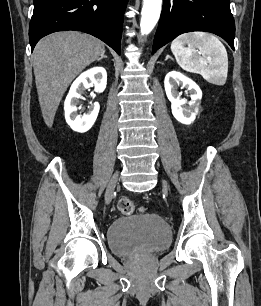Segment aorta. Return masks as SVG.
<instances>
[{
  "instance_id": "obj_1",
  "label": "aorta",
  "mask_w": 261,
  "mask_h": 306,
  "mask_svg": "<svg viewBox=\"0 0 261 306\" xmlns=\"http://www.w3.org/2000/svg\"><path fill=\"white\" fill-rule=\"evenodd\" d=\"M162 0H143L140 29L143 35H148L159 20Z\"/></svg>"
}]
</instances>
